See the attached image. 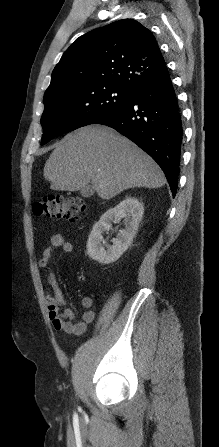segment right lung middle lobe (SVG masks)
Returning <instances> with one entry per match:
<instances>
[{"label":"right lung middle lobe","mask_w":219,"mask_h":447,"mask_svg":"<svg viewBox=\"0 0 219 447\" xmlns=\"http://www.w3.org/2000/svg\"><path fill=\"white\" fill-rule=\"evenodd\" d=\"M132 96L133 93L115 85H103L82 93L57 91L44 96L41 144L62 133L92 124L129 102Z\"/></svg>","instance_id":"obj_1"}]
</instances>
